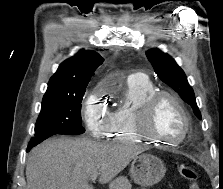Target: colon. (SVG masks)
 Here are the masks:
<instances>
[{
    "label": "colon",
    "instance_id": "colon-1",
    "mask_svg": "<svg viewBox=\"0 0 223 189\" xmlns=\"http://www.w3.org/2000/svg\"><path fill=\"white\" fill-rule=\"evenodd\" d=\"M179 171L181 176L187 180L188 189H200L198 172L192 165L183 164Z\"/></svg>",
    "mask_w": 223,
    "mask_h": 189
}]
</instances>
